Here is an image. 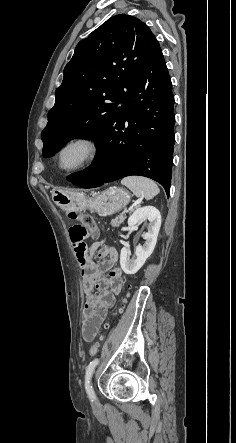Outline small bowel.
I'll return each instance as SVG.
<instances>
[{"label": "small bowel", "instance_id": "c3829d8e", "mask_svg": "<svg viewBox=\"0 0 236 443\" xmlns=\"http://www.w3.org/2000/svg\"><path fill=\"white\" fill-rule=\"evenodd\" d=\"M73 241L86 294L82 335L84 340L91 341L99 332L107 311L114 305L115 297L123 287L122 270L117 266L119 252L116 247L104 245L103 241L95 242L82 251L79 245L84 242ZM95 254L101 262L94 261ZM104 272H108V277L103 276Z\"/></svg>", "mask_w": 236, "mask_h": 443}]
</instances>
